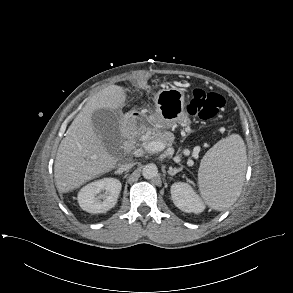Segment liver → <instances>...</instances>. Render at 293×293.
Wrapping results in <instances>:
<instances>
[{
    "label": "liver",
    "instance_id": "obj_1",
    "mask_svg": "<svg viewBox=\"0 0 293 293\" xmlns=\"http://www.w3.org/2000/svg\"><path fill=\"white\" fill-rule=\"evenodd\" d=\"M126 99L121 86L110 85L90 98L69 126L62 139L54 165L56 188L67 193L95 177L111 171L117 164L104 147L92 124L94 111L120 108Z\"/></svg>",
    "mask_w": 293,
    "mask_h": 293
}]
</instances>
